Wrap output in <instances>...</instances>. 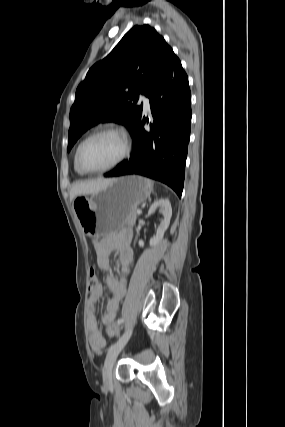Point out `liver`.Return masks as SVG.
I'll return each instance as SVG.
<instances>
[{
    "label": "liver",
    "mask_w": 285,
    "mask_h": 427,
    "mask_svg": "<svg viewBox=\"0 0 285 427\" xmlns=\"http://www.w3.org/2000/svg\"><path fill=\"white\" fill-rule=\"evenodd\" d=\"M114 179L99 178L95 180L76 182L70 190V200L80 195H89L106 188Z\"/></svg>",
    "instance_id": "liver-1"
}]
</instances>
